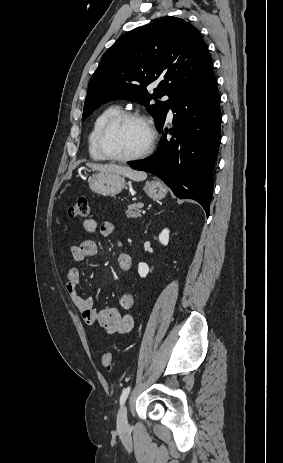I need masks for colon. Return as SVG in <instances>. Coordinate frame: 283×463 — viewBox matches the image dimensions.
Listing matches in <instances>:
<instances>
[{
    "mask_svg": "<svg viewBox=\"0 0 283 463\" xmlns=\"http://www.w3.org/2000/svg\"><path fill=\"white\" fill-rule=\"evenodd\" d=\"M90 204L86 198H79L68 209V215L71 218L85 219L90 215ZM103 366L106 369H111L113 365V354L111 352H104L101 357Z\"/></svg>",
    "mask_w": 283,
    "mask_h": 463,
    "instance_id": "5ec220e1",
    "label": "colon"
}]
</instances>
